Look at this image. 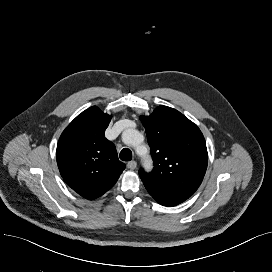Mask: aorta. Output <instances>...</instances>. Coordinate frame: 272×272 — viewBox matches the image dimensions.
I'll list each match as a JSON object with an SVG mask.
<instances>
[{
    "label": "aorta",
    "mask_w": 272,
    "mask_h": 272,
    "mask_svg": "<svg viewBox=\"0 0 272 272\" xmlns=\"http://www.w3.org/2000/svg\"><path fill=\"white\" fill-rule=\"evenodd\" d=\"M140 136V133L135 129L125 130L122 134V140L126 144H132ZM144 165L147 169L151 168V163L148 159L145 158Z\"/></svg>",
    "instance_id": "obj_1"
}]
</instances>
